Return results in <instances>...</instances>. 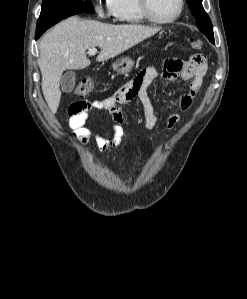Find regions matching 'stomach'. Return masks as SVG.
I'll return each mask as SVG.
<instances>
[{
	"instance_id": "0dacf381",
	"label": "stomach",
	"mask_w": 247,
	"mask_h": 299,
	"mask_svg": "<svg viewBox=\"0 0 247 299\" xmlns=\"http://www.w3.org/2000/svg\"><path fill=\"white\" fill-rule=\"evenodd\" d=\"M134 62L129 57H124L116 60L113 63V69L119 75H127L133 68Z\"/></svg>"
}]
</instances>
